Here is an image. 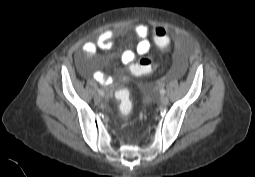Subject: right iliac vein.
<instances>
[{
    "label": "right iliac vein",
    "mask_w": 255,
    "mask_h": 177,
    "mask_svg": "<svg viewBox=\"0 0 255 177\" xmlns=\"http://www.w3.org/2000/svg\"><path fill=\"white\" fill-rule=\"evenodd\" d=\"M94 101H95L96 103H99V102L101 101V97H100L99 95H96V96L94 97Z\"/></svg>",
    "instance_id": "63e3f726"
}]
</instances>
